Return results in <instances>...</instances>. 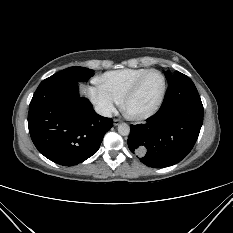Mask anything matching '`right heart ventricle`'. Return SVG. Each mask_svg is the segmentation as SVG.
I'll use <instances>...</instances> for the list:
<instances>
[{
    "instance_id": "1",
    "label": "right heart ventricle",
    "mask_w": 233,
    "mask_h": 233,
    "mask_svg": "<svg viewBox=\"0 0 233 233\" xmlns=\"http://www.w3.org/2000/svg\"><path fill=\"white\" fill-rule=\"evenodd\" d=\"M147 70L148 68H126L109 71L99 76L96 83L120 101L128 88Z\"/></svg>"
}]
</instances>
